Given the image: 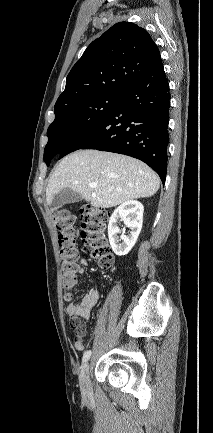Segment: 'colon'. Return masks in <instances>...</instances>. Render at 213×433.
Returning <instances> with one entry per match:
<instances>
[{
	"mask_svg": "<svg viewBox=\"0 0 213 433\" xmlns=\"http://www.w3.org/2000/svg\"><path fill=\"white\" fill-rule=\"evenodd\" d=\"M108 213L102 208L85 206L82 210L81 236L91 257L104 269L114 266V256L107 241ZM54 224L59 238L60 256L62 259V282L65 289H71L75 282L77 265V249L75 241V216L67 209H60L53 214ZM67 300L72 294L67 292ZM71 327L79 337L83 332V324L77 317H71Z\"/></svg>",
	"mask_w": 213,
	"mask_h": 433,
	"instance_id": "colon-1",
	"label": "colon"
}]
</instances>
